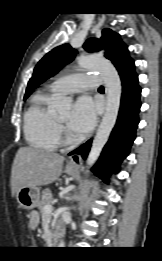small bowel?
<instances>
[{
    "label": "small bowel",
    "mask_w": 162,
    "mask_h": 261,
    "mask_svg": "<svg viewBox=\"0 0 162 261\" xmlns=\"http://www.w3.org/2000/svg\"><path fill=\"white\" fill-rule=\"evenodd\" d=\"M31 223H32V225H34V226L37 224V216H36L35 214L32 215Z\"/></svg>",
    "instance_id": "obj_1"
}]
</instances>
